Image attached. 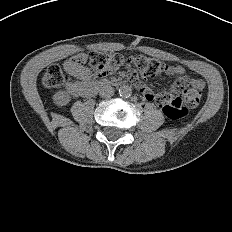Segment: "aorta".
I'll use <instances>...</instances> for the list:
<instances>
[{
	"label": "aorta",
	"instance_id": "obj_1",
	"mask_svg": "<svg viewBox=\"0 0 232 232\" xmlns=\"http://www.w3.org/2000/svg\"><path fill=\"white\" fill-rule=\"evenodd\" d=\"M119 94L123 98H128L132 95V89L128 85H123L119 88Z\"/></svg>",
	"mask_w": 232,
	"mask_h": 232
}]
</instances>
